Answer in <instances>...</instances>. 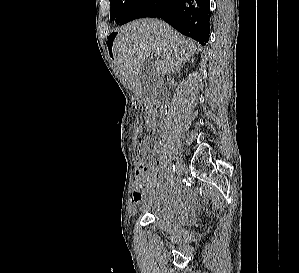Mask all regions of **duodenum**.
<instances>
[{
	"instance_id": "obj_1",
	"label": "duodenum",
	"mask_w": 299,
	"mask_h": 273,
	"mask_svg": "<svg viewBox=\"0 0 299 273\" xmlns=\"http://www.w3.org/2000/svg\"><path fill=\"white\" fill-rule=\"evenodd\" d=\"M164 103H165V99H164V96L161 95L157 101H156V105H157V108L163 112L164 111Z\"/></svg>"
}]
</instances>
